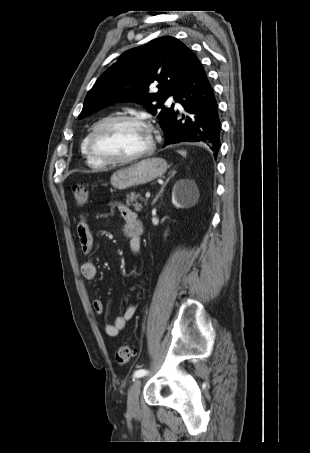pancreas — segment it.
I'll list each match as a JSON object with an SVG mask.
<instances>
[{"instance_id": "1", "label": "pancreas", "mask_w": 310, "mask_h": 453, "mask_svg": "<svg viewBox=\"0 0 310 453\" xmlns=\"http://www.w3.org/2000/svg\"><path fill=\"white\" fill-rule=\"evenodd\" d=\"M140 198L141 201H144L146 204V201L141 197L140 193H135L131 192L130 194H127V199H126V204L128 206H133L136 211H141L143 208L142 204L138 202V199Z\"/></svg>"}]
</instances>
